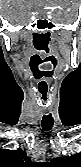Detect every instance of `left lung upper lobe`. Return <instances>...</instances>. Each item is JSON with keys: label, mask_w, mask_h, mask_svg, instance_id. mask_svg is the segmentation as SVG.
Instances as JSON below:
<instances>
[{"label": "left lung upper lobe", "mask_w": 81, "mask_h": 167, "mask_svg": "<svg viewBox=\"0 0 81 167\" xmlns=\"http://www.w3.org/2000/svg\"><path fill=\"white\" fill-rule=\"evenodd\" d=\"M81 159L80 154H74L71 156H62L54 158L50 163L46 165L48 167H79V161Z\"/></svg>", "instance_id": "left-lung-upper-lobe-1"}]
</instances>
